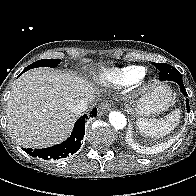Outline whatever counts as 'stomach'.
I'll return each mask as SVG.
<instances>
[{
    "mask_svg": "<svg viewBox=\"0 0 196 196\" xmlns=\"http://www.w3.org/2000/svg\"><path fill=\"white\" fill-rule=\"evenodd\" d=\"M173 101L172 90L162 83L153 84L139 99L132 102L137 116L146 117L167 110Z\"/></svg>",
    "mask_w": 196,
    "mask_h": 196,
    "instance_id": "obj_1",
    "label": "stomach"
}]
</instances>
